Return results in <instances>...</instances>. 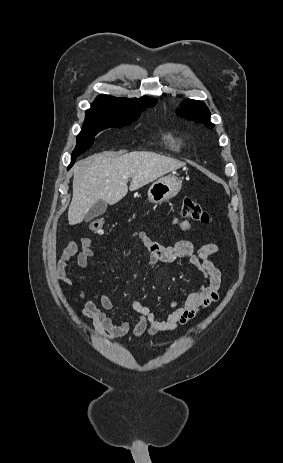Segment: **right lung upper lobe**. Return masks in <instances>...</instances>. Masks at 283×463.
<instances>
[{
	"label": "right lung upper lobe",
	"instance_id": "obj_1",
	"mask_svg": "<svg viewBox=\"0 0 283 463\" xmlns=\"http://www.w3.org/2000/svg\"><path fill=\"white\" fill-rule=\"evenodd\" d=\"M95 103L100 104H123V105H132V106H146L152 103L157 102L156 99H151L149 97H143L141 99L133 98H116L108 95H100L94 101Z\"/></svg>",
	"mask_w": 283,
	"mask_h": 463
}]
</instances>
